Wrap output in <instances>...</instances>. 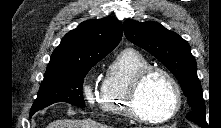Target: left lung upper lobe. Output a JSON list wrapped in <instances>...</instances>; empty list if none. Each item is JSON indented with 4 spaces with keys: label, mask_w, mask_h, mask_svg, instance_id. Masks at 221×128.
<instances>
[{
    "label": "left lung upper lobe",
    "mask_w": 221,
    "mask_h": 128,
    "mask_svg": "<svg viewBox=\"0 0 221 128\" xmlns=\"http://www.w3.org/2000/svg\"><path fill=\"white\" fill-rule=\"evenodd\" d=\"M124 33L129 41L151 53L174 74L192 109L186 118L207 127L202 87L188 42L156 22L126 20Z\"/></svg>",
    "instance_id": "obj_1"
}]
</instances>
